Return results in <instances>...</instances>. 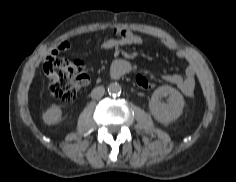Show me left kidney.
<instances>
[{
  "label": "left kidney",
  "instance_id": "1",
  "mask_svg": "<svg viewBox=\"0 0 236 182\" xmlns=\"http://www.w3.org/2000/svg\"><path fill=\"white\" fill-rule=\"evenodd\" d=\"M169 96L168 102L161 100ZM184 98L182 94L171 86L158 87L149 101L152 116L160 123L168 124L177 120L183 113Z\"/></svg>",
  "mask_w": 236,
  "mask_h": 182
}]
</instances>
